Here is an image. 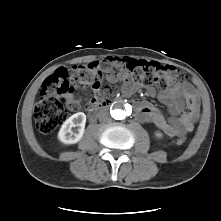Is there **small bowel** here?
I'll return each instance as SVG.
<instances>
[{
	"label": "small bowel",
	"mask_w": 221,
	"mask_h": 221,
	"mask_svg": "<svg viewBox=\"0 0 221 221\" xmlns=\"http://www.w3.org/2000/svg\"><path fill=\"white\" fill-rule=\"evenodd\" d=\"M109 64L115 66L118 71L114 72L110 66L104 67L105 79L109 83L122 82V91L125 95L132 94L138 84L128 74L122 66L119 58H110ZM100 83L93 86V98L86 104V108L93 107L100 100ZM148 94L157 97L164 103L171 116L167 119L162 112L146 101H136L137 118L142 122H150L162 130L170 137L182 136L194 129L200 115V105L198 97L190 84L183 82L175 84L163 90L148 88ZM80 103L71 101V108L78 109Z\"/></svg>",
	"instance_id": "c3829d8e"
}]
</instances>
